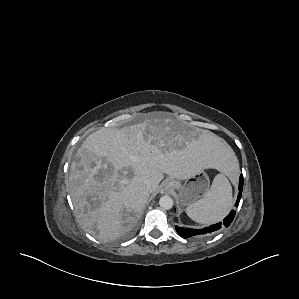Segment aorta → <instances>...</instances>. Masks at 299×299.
<instances>
[{"instance_id": "aorta-1", "label": "aorta", "mask_w": 299, "mask_h": 299, "mask_svg": "<svg viewBox=\"0 0 299 299\" xmlns=\"http://www.w3.org/2000/svg\"><path fill=\"white\" fill-rule=\"evenodd\" d=\"M173 199L170 196H162L159 200V205L165 210H169L173 207Z\"/></svg>"}]
</instances>
